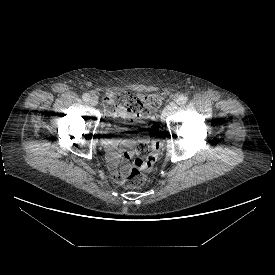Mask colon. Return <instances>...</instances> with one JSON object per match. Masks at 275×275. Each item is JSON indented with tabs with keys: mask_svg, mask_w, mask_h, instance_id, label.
<instances>
[{
	"mask_svg": "<svg viewBox=\"0 0 275 275\" xmlns=\"http://www.w3.org/2000/svg\"><path fill=\"white\" fill-rule=\"evenodd\" d=\"M161 98L156 94H151L136 98L132 105L142 117L151 122V130H157L156 112L161 106ZM160 149L159 142H153L150 144L147 140H142L138 143L135 154L144 155L148 153L145 159L137 158L134 162V167L129 171L125 178V185L129 188H139L146 181V172L150 171L158 158Z\"/></svg>",
	"mask_w": 275,
	"mask_h": 275,
	"instance_id": "5ec220e1",
	"label": "colon"
}]
</instances>
